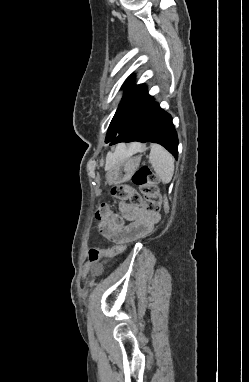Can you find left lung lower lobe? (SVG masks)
<instances>
[{
    "mask_svg": "<svg viewBox=\"0 0 249 382\" xmlns=\"http://www.w3.org/2000/svg\"><path fill=\"white\" fill-rule=\"evenodd\" d=\"M133 141L158 143L178 157V138L172 117L154 101L142 117L128 130L119 133L110 145Z\"/></svg>",
    "mask_w": 249,
    "mask_h": 382,
    "instance_id": "1",
    "label": "left lung lower lobe"
}]
</instances>
